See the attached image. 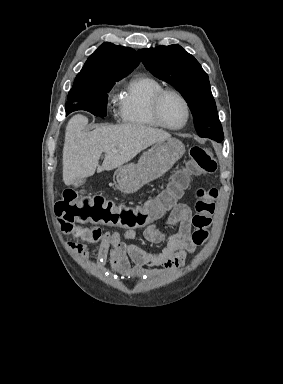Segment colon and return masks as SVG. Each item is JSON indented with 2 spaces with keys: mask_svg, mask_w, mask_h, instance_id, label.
<instances>
[{
  "mask_svg": "<svg viewBox=\"0 0 283 384\" xmlns=\"http://www.w3.org/2000/svg\"><path fill=\"white\" fill-rule=\"evenodd\" d=\"M217 159L205 146H194L190 150L189 172L194 175H206L215 172ZM186 183L185 176L178 183L155 199L140 206L116 205L101 196H88L85 192L66 189L55 205L59 222L70 227L87 223L106 227L136 230L147 227L159 219L175 203ZM218 191L215 188H201L197 191L196 213L192 218L195 228L192 240L202 245L208 237V228L215 211Z\"/></svg>",
  "mask_w": 283,
  "mask_h": 384,
  "instance_id": "colon-1",
  "label": "colon"
}]
</instances>
